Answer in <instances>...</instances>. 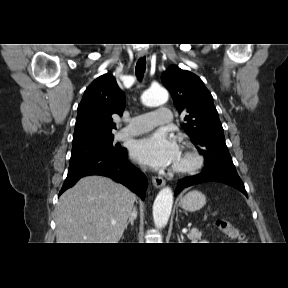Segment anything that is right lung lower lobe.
Listing matches in <instances>:
<instances>
[{
    "label": "right lung lower lobe",
    "instance_id": "98d812e1",
    "mask_svg": "<svg viewBox=\"0 0 288 288\" xmlns=\"http://www.w3.org/2000/svg\"><path fill=\"white\" fill-rule=\"evenodd\" d=\"M87 175L110 177L127 186L142 199L145 198L147 179L139 169L127 161V150L125 148L117 155H94L70 163L68 174L59 196L72 187L81 177Z\"/></svg>",
    "mask_w": 288,
    "mask_h": 288
}]
</instances>
